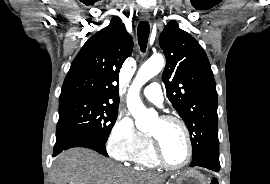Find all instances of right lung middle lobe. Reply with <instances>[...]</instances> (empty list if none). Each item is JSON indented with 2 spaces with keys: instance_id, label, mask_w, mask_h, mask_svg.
Here are the masks:
<instances>
[{
  "instance_id": "right-lung-middle-lobe-1",
  "label": "right lung middle lobe",
  "mask_w": 270,
  "mask_h": 184,
  "mask_svg": "<svg viewBox=\"0 0 270 184\" xmlns=\"http://www.w3.org/2000/svg\"><path fill=\"white\" fill-rule=\"evenodd\" d=\"M118 106L85 97L59 99L56 135L81 133L106 143Z\"/></svg>"
}]
</instances>
